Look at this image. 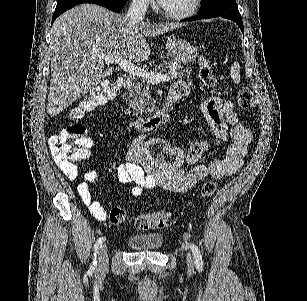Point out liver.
Returning a JSON list of instances; mask_svg holds the SVG:
<instances>
[{
	"label": "liver",
	"instance_id": "obj_1",
	"mask_svg": "<svg viewBox=\"0 0 307 301\" xmlns=\"http://www.w3.org/2000/svg\"><path fill=\"white\" fill-rule=\"evenodd\" d=\"M179 26V22H132L127 14L88 2L63 12L50 30L48 114L57 116L113 74L115 68L104 70L98 54H117L129 62H143L151 54L144 36H157Z\"/></svg>",
	"mask_w": 307,
	"mask_h": 301
}]
</instances>
